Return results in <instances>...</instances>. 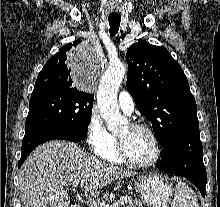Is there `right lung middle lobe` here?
I'll use <instances>...</instances> for the list:
<instances>
[{
    "label": "right lung middle lobe",
    "mask_w": 220,
    "mask_h": 207,
    "mask_svg": "<svg viewBox=\"0 0 220 207\" xmlns=\"http://www.w3.org/2000/svg\"><path fill=\"white\" fill-rule=\"evenodd\" d=\"M93 100L92 94L80 90L36 88L30 98L25 129L60 127L87 131Z\"/></svg>",
    "instance_id": "1"
}]
</instances>
